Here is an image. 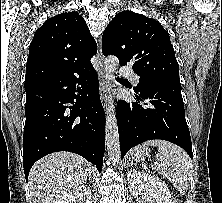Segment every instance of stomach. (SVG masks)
Returning a JSON list of instances; mask_svg holds the SVG:
<instances>
[{"label":"stomach","instance_id":"1","mask_svg":"<svg viewBox=\"0 0 222 203\" xmlns=\"http://www.w3.org/2000/svg\"><path fill=\"white\" fill-rule=\"evenodd\" d=\"M150 152V149L146 146H137L132 150V156L136 160L144 158L146 155H148Z\"/></svg>","mask_w":222,"mask_h":203}]
</instances>
